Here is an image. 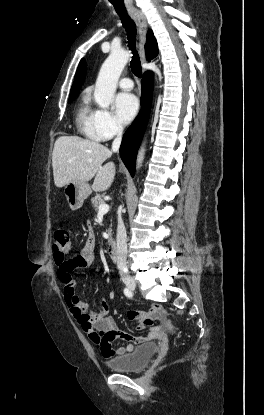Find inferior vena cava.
I'll use <instances>...</instances> for the list:
<instances>
[{
	"mask_svg": "<svg viewBox=\"0 0 264 415\" xmlns=\"http://www.w3.org/2000/svg\"><path fill=\"white\" fill-rule=\"evenodd\" d=\"M123 127L118 124L117 126V136L112 143V150L118 151L121 140H122ZM126 229L121 217V214L118 215V226H117V267L121 276H125L128 272L127 270V241H126Z\"/></svg>",
	"mask_w": 264,
	"mask_h": 415,
	"instance_id": "602c4592",
	"label": "inferior vena cava"
}]
</instances>
